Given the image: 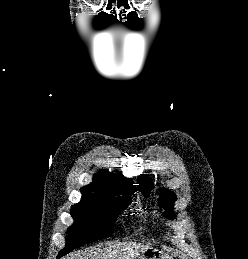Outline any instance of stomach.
<instances>
[{
	"instance_id": "1",
	"label": "stomach",
	"mask_w": 248,
	"mask_h": 259,
	"mask_svg": "<svg viewBox=\"0 0 248 259\" xmlns=\"http://www.w3.org/2000/svg\"><path fill=\"white\" fill-rule=\"evenodd\" d=\"M134 259H171V257L157 249L149 248Z\"/></svg>"
}]
</instances>
